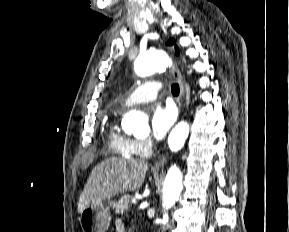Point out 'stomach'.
Instances as JSON below:
<instances>
[{"label":"stomach","mask_w":289,"mask_h":232,"mask_svg":"<svg viewBox=\"0 0 289 232\" xmlns=\"http://www.w3.org/2000/svg\"><path fill=\"white\" fill-rule=\"evenodd\" d=\"M114 201L108 203L92 204L85 208L79 217L83 232H106L111 221V207Z\"/></svg>","instance_id":"obj_1"}]
</instances>
